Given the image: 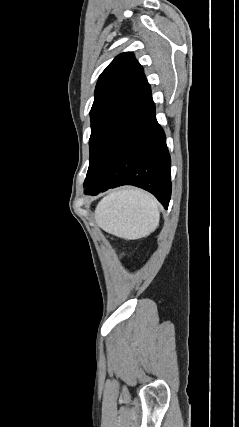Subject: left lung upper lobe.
<instances>
[{"label":"left lung upper lobe","instance_id":"left-lung-upper-lobe-1","mask_svg":"<svg viewBox=\"0 0 239 427\" xmlns=\"http://www.w3.org/2000/svg\"><path fill=\"white\" fill-rule=\"evenodd\" d=\"M152 99L143 68L131 52L121 53L99 76L90 111V164L84 186L117 131Z\"/></svg>","mask_w":239,"mask_h":427}]
</instances>
